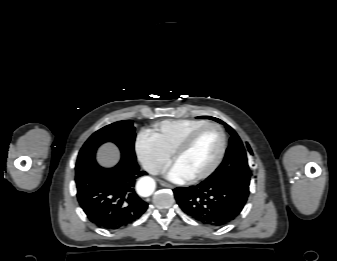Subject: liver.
Returning <instances> with one entry per match:
<instances>
[{
    "label": "liver",
    "mask_w": 337,
    "mask_h": 261,
    "mask_svg": "<svg viewBox=\"0 0 337 261\" xmlns=\"http://www.w3.org/2000/svg\"><path fill=\"white\" fill-rule=\"evenodd\" d=\"M119 160V151L113 144L103 145L97 154V161L105 166L111 167Z\"/></svg>",
    "instance_id": "6515ba94"
}]
</instances>
